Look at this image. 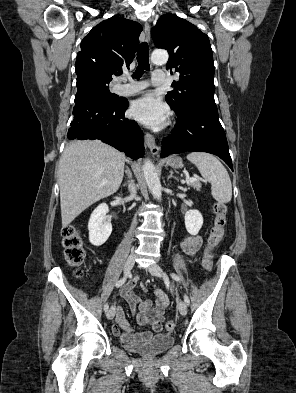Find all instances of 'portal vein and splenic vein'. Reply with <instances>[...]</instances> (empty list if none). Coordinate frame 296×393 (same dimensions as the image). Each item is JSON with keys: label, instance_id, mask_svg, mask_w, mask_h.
I'll list each match as a JSON object with an SVG mask.
<instances>
[{"label": "portal vein and splenic vein", "instance_id": "18ae733b", "mask_svg": "<svg viewBox=\"0 0 296 393\" xmlns=\"http://www.w3.org/2000/svg\"><path fill=\"white\" fill-rule=\"evenodd\" d=\"M186 181L193 182V181H197V179L196 178H191V177H186ZM104 183H106V181H104Z\"/></svg>", "mask_w": 296, "mask_h": 393}]
</instances>
